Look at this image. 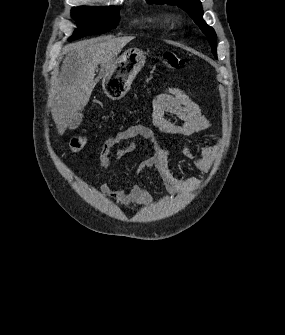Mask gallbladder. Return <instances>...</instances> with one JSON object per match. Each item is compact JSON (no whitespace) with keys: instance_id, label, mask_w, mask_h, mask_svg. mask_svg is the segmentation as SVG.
Listing matches in <instances>:
<instances>
[{"instance_id":"1","label":"gallbladder","mask_w":285,"mask_h":335,"mask_svg":"<svg viewBox=\"0 0 285 335\" xmlns=\"http://www.w3.org/2000/svg\"><path fill=\"white\" fill-rule=\"evenodd\" d=\"M82 118H83V114H80V112H77L76 116H74V118H72V120L69 124L70 130H75V128H78V126H80V124L82 122Z\"/></svg>"}]
</instances>
